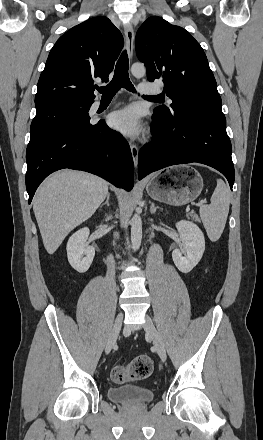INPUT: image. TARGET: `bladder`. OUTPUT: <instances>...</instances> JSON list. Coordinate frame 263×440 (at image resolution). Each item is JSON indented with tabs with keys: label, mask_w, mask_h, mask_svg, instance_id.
<instances>
[{
	"label": "bladder",
	"mask_w": 263,
	"mask_h": 440,
	"mask_svg": "<svg viewBox=\"0 0 263 440\" xmlns=\"http://www.w3.org/2000/svg\"><path fill=\"white\" fill-rule=\"evenodd\" d=\"M107 396L113 402L131 406L147 405L154 398L153 393L149 389L140 386L109 387L107 389Z\"/></svg>",
	"instance_id": "31cf9c89"
}]
</instances>
